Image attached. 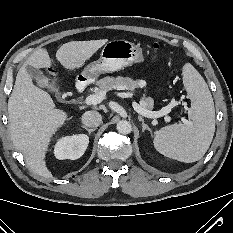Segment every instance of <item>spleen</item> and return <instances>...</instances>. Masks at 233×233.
I'll use <instances>...</instances> for the list:
<instances>
[{
	"label": "spleen",
	"instance_id": "3e777b00",
	"mask_svg": "<svg viewBox=\"0 0 233 233\" xmlns=\"http://www.w3.org/2000/svg\"><path fill=\"white\" fill-rule=\"evenodd\" d=\"M183 84L191 100L187 124L165 126L156 132L155 149L180 162L200 160L208 150L215 132V109L211 92L200 73L186 63Z\"/></svg>",
	"mask_w": 233,
	"mask_h": 233
}]
</instances>
